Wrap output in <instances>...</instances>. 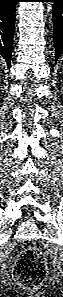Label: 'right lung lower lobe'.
Here are the masks:
<instances>
[{
	"label": "right lung lower lobe",
	"instance_id": "right-lung-lower-lobe-1",
	"mask_svg": "<svg viewBox=\"0 0 63 297\" xmlns=\"http://www.w3.org/2000/svg\"><path fill=\"white\" fill-rule=\"evenodd\" d=\"M16 2L18 0H0V55L10 68L15 24Z\"/></svg>",
	"mask_w": 63,
	"mask_h": 297
}]
</instances>
